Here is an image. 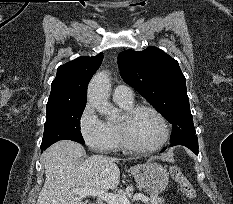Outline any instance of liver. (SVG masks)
Returning <instances> with one entry per match:
<instances>
[{
	"label": "liver",
	"mask_w": 233,
	"mask_h": 204,
	"mask_svg": "<svg viewBox=\"0 0 233 204\" xmlns=\"http://www.w3.org/2000/svg\"><path fill=\"white\" fill-rule=\"evenodd\" d=\"M85 154L80 144L70 140L59 141L43 153L46 180L36 204H86L73 188L89 187L105 193L117 188L118 159L94 155L78 163Z\"/></svg>",
	"instance_id": "1"
}]
</instances>
